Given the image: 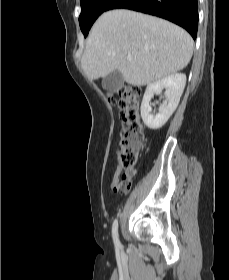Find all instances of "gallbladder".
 <instances>
[{
	"instance_id": "gallbladder-1",
	"label": "gallbladder",
	"mask_w": 229,
	"mask_h": 280,
	"mask_svg": "<svg viewBox=\"0 0 229 280\" xmlns=\"http://www.w3.org/2000/svg\"><path fill=\"white\" fill-rule=\"evenodd\" d=\"M123 85V76L119 71H114L103 78L102 87L109 93H116Z\"/></svg>"
}]
</instances>
